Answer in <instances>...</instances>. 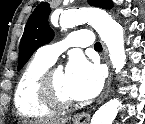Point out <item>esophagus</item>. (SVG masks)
Instances as JSON below:
<instances>
[{
	"mask_svg": "<svg viewBox=\"0 0 145 124\" xmlns=\"http://www.w3.org/2000/svg\"><path fill=\"white\" fill-rule=\"evenodd\" d=\"M103 54H104L105 59H107V51L105 47L103 49ZM110 85H111V73L109 74V77L107 79V82H106V85L102 94L97 100V104H101L107 98L110 91ZM89 118L90 116L88 113H80L75 116V122L77 124H86L89 121Z\"/></svg>",
	"mask_w": 145,
	"mask_h": 124,
	"instance_id": "obj_1",
	"label": "esophagus"
}]
</instances>
